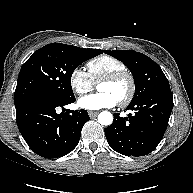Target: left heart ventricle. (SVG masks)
<instances>
[{"label": "left heart ventricle", "mask_w": 193, "mask_h": 193, "mask_svg": "<svg viewBox=\"0 0 193 193\" xmlns=\"http://www.w3.org/2000/svg\"><path fill=\"white\" fill-rule=\"evenodd\" d=\"M98 91L110 93L119 102L127 95L129 82L126 79L114 83L102 82L98 85Z\"/></svg>", "instance_id": "left-heart-ventricle-1"}]
</instances>
